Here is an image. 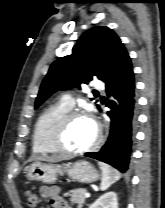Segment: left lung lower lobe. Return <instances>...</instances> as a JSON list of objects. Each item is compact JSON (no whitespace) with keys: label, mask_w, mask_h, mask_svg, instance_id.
I'll return each instance as SVG.
<instances>
[{"label":"left lung lower lobe","mask_w":165,"mask_h":208,"mask_svg":"<svg viewBox=\"0 0 165 208\" xmlns=\"http://www.w3.org/2000/svg\"><path fill=\"white\" fill-rule=\"evenodd\" d=\"M105 84L110 97L106 104L111 109L107 113L112 120L110 135L99 152L85 153V156L110 164L126 173L129 170L137 126L135 80L129 55Z\"/></svg>","instance_id":"1"}]
</instances>
